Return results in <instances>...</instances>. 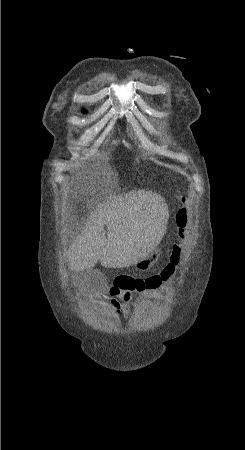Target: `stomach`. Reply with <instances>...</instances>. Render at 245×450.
Here are the masks:
<instances>
[{"label":"stomach","instance_id":"obj_1","mask_svg":"<svg viewBox=\"0 0 245 450\" xmlns=\"http://www.w3.org/2000/svg\"><path fill=\"white\" fill-rule=\"evenodd\" d=\"M161 255V249L155 248L150 254H148L145 258L136 262L133 266L141 271H145L150 269L157 261L159 260Z\"/></svg>","mask_w":245,"mask_h":450}]
</instances>
